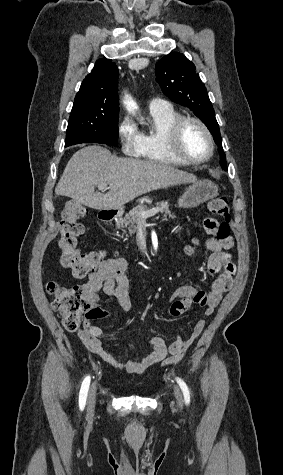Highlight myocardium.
<instances>
[{"mask_svg": "<svg viewBox=\"0 0 283 475\" xmlns=\"http://www.w3.org/2000/svg\"><path fill=\"white\" fill-rule=\"evenodd\" d=\"M188 122L196 123L202 129L209 143V152L201 158H173L167 154L165 146L169 142L175 144L179 143L182 129ZM158 152L165 162H206L210 160L215 153V141L211 131L201 119L193 116H180L169 124L165 137H163L158 144Z\"/></svg>", "mask_w": 283, "mask_h": 475, "instance_id": "myocardium-1", "label": "myocardium"}]
</instances>
